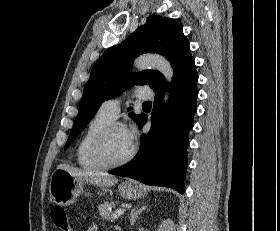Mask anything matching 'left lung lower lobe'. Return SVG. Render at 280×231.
<instances>
[{
    "instance_id": "1",
    "label": "left lung lower lobe",
    "mask_w": 280,
    "mask_h": 231,
    "mask_svg": "<svg viewBox=\"0 0 280 231\" xmlns=\"http://www.w3.org/2000/svg\"><path fill=\"white\" fill-rule=\"evenodd\" d=\"M197 80L196 70L188 69L170 85V98L164 106L161 99L166 87L155 92L152 127L148 135L142 134L138 154L129 163L109 171L110 174L128 176L147 185L167 186L180 193L184 192L188 132L193 127V117L197 110ZM136 122L142 128L147 122V116L140 114Z\"/></svg>"
}]
</instances>
